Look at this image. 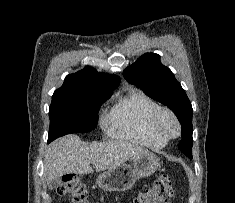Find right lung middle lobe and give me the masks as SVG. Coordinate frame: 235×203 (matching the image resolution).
<instances>
[{
  "mask_svg": "<svg viewBox=\"0 0 235 203\" xmlns=\"http://www.w3.org/2000/svg\"><path fill=\"white\" fill-rule=\"evenodd\" d=\"M111 94L89 90H56L49 108L48 142L66 134L94 130L98 110Z\"/></svg>",
  "mask_w": 235,
  "mask_h": 203,
  "instance_id": "right-lung-middle-lobe-1",
  "label": "right lung middle lobe"
}]
</instances>
